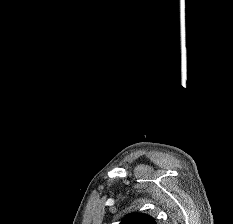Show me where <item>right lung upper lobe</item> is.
Segmentation results:
<instances>
[{"label":"right lung upper lobe","mask_w":233,"mask_h":224,"mask_svg":"<svg viewBox=\"0 0 233 224\" xmlns=\"http://www.w3.org/2000/svg\"><path fill=\"white\" fill-rule=\"evenodd\" d=\"M120 224H157L153 218L146 214L133 213L127 215Z\"/></svg>","instance_id":"obj_1"}]
</instances>
